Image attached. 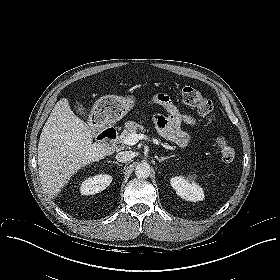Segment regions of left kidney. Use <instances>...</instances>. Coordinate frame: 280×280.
Wrapping results in <instances>:
<instances>
[{"instance_id": "left-kidney-1", "label": "left kidney", "mask_w": 280, "mask_h": 280, "mask_svg": "<svg viewBox=\"0 0 280 280\" xmlns=\"http://www.w3.org/2000/svg\"><path fill=\"white\" fill-rule=\"evenodd\" d=\"M171 186L182 199L191 202L204 199L203 189L192 179L183 176H175L170 179Z\"/></svg>"}]
</instances>
